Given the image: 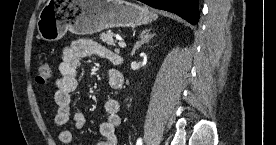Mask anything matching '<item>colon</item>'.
Segmentation results:
<instances>
[{"instance_id": "obj_1", "label": "colon", "mask_w": 276, "mask_h": 145, "mask_svg": "<svg viewBox=\"0 0 276 145\" xmlns=\"http://www.w3.org/2000/svg\"><path fill=\"white\" fill-rule=\"evenodd\" d=\"M51 67L47 62L40 61L36 65V82L39 84L47 83L51 78Z\"/></svg>"}]
</instances>
